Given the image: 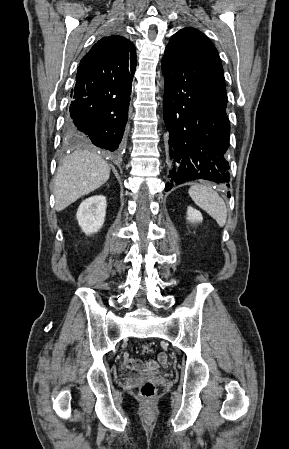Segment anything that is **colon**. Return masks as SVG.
<instances>
[{
  "instance_id": "colon-1",
  "label": "colon",
  "mask_w": 289,
  "mask_h": 449,
  "mask_svg": "<svg viewBox=\"0 0 289 449\" xmlns=\"http://www.w3.org/2000/svg\"><path fill=\"white\" fill-rule=\"evenodd\" d=\"M142 350L144 353H152L153 349L148 345H143ZM155 393V386L151 382H145L140 387V394L144 398H151Z\"/></svg>"
}]
</instances>
